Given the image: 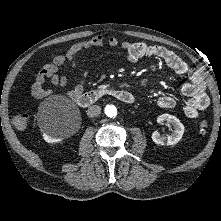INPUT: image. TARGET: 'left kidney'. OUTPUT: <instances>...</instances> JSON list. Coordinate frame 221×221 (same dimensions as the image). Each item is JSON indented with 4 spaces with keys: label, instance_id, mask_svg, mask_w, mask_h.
I'll list each match as a JSON object with an SVG mask.
<instances>
[{
    "label": "left kidney",
    "instance_id": "5707ae66",
    "mask_svg": "<svg viewBox=\"0 0 221 221\" xmlns=\"http://www.w3.org/2000/svg\"><path fill=\"white\" fill-rule=\"evenodd\" d=\"M167 121L172 124L174 130L170 135L163 136L158 131H154L152 134V140L156 144L160 145H174L180 141L184 134V125L180 122V120L170 114H162L157 117V122L162 123Z\"/></svg>",
    "mask_w": 221,
    "mask_h": 221
}]
</instances>
